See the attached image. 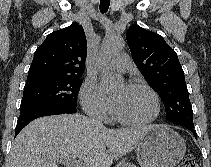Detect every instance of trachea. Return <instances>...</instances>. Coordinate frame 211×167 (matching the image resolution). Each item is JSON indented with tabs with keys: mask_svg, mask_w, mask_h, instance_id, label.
<instances>
[{
	"mask_svg": "<svg viewBox=\"0 0 211 167\" xmlns=\"http://www.w3.org/2000/svg\"><path fill=\"white\" fill-rule=\"evenodd\" d=\"M110 5V0H101L100 1V12L106 13Z\"/></svg>",
	"mask_w": 211,
	"mask_h": 167,
	"instance_id": "obj_1",
	"label": "trachea"
}]
</instances>
